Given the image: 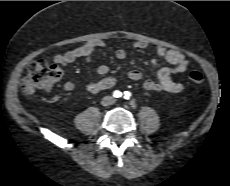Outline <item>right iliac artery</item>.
Here are the masks:
<instances>
[{
    "label": "right iliac artery",
    "mask_w": 230,
    "mask_h": 186,
    "mask_svg": "<svg viewBox=\"0 0 230 186\" xmlns=\"http://www.w3.org/2000/svg\"><path fill=\"white\" fill-rule=\"evenodd\" d=\"M121 96H122V93L120 91L116 90V91L113 92V97L119 98Z\"/></svg>",
    "instance_id": "obj_1"
}]
</instances>
